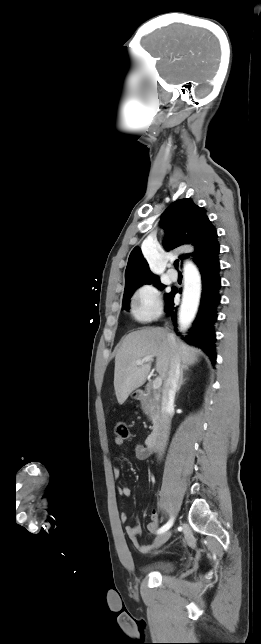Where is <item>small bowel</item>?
<instances>
[{"instance_id":"c3829d8e","label":"small bowel","mask_w":261,"mask_h":644,"mask_svg":"<svg viewBox=\"0 0 261 644\" xmlns=\"http://www.w3.org/2000/svg\"><path fill=\"white\" fill-rule=\"evenodd\" d=\"M124 440L120 438H115V444L118 446L123 445ZM152 449L148 448L147 446L143 444H136L133 447V453L135 457L139 460H144L147 459L151 454H152ZM113 475L114 478L118 479L120 477V468L119 467H114L113 469ZM119 494L122 497L128 498L131 495V489L127 486L119 488ZM120 520L123 523H126L128 520V516L125 512H122L120 515ZM159 527V514L156 510H153L150 515V522L147 525V530L150 533H155ZM125 532L126 535L128 536L129 540L132 542V544L136 547V549L141 553V554H147L150 551L154 550L156 547L155 543L150 544V545H142L138 541V537L141 533V526L138 522H136L132 526H126L125 527Z\"/></svg>"}]
</instances>
